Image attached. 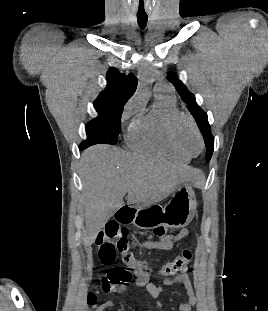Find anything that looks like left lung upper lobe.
<instances>
[{"label": "left lung upper lobe", "instance_id": "1", "mask_svg": "<svg viewBox=\"0 0 268 311\" xmlns=\"http://www.w3.org/2000/svg\"><path fill=\"white\" fill-rule=\"evenodd\" d=\"M167 80L171 82L182 100L187 103V108L196 120V123L203 135L205 146H206V159L209 161L211 159L213 149H214V138L211 134L210 125L208 122L207 113L204 112L196 103L195 96L187 89V87L178 79L177 75L174 73H169Z\"/></svg>", "mask_w": 268, "mask_h": 311}]
</instances>
